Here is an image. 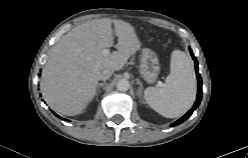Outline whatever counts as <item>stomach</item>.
I'll return each mask as SVG.
<instances>
[{
	"instance_id": "stomach-1",
	"label": "stomach",
	"mask_w": 248,
	"mask_h": 158,
	"mask_svg": "<svg viewBox=\"0 0 248 158\" xmlns=\"http://www.w3.org/2000/svg\"><path fill=\"white\" fill-rule=\"evenodd\" d=\"M160 65L155 52L145 48L142 50L140 60V74L148 83H154L159 75Z\"/></svg>"
}]
</instances>
